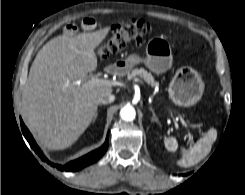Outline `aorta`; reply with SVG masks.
Wrapping results in <instances>:
<instances>
[{
  "mask_svg": "<svg viewBox=\"0 0 245 195\" xmlns=\"http://www.w3.org/2000/svg\"><path fill=\"white\" fill-rule=\"evenodd\" d=\"M120 116L124 121H133L136 116V111L132 106L126 105L121 108Z\"/></svg>",
  "mask_w": 245,
  "mask_h": 195,
  "instance_id": "1",
  "label": "aorta"
}]
</instances>
